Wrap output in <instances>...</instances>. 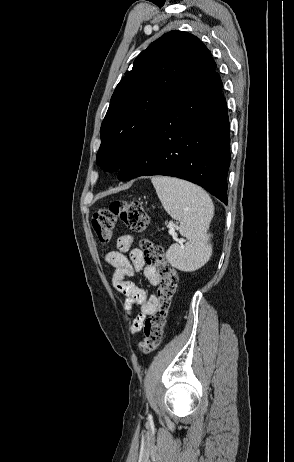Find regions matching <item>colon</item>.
Here are the masks:
<instances>
[{"label":"colon","instance_id":"5ec220e1","mask_svg":"<svg viewBox=\"0 0 294 462\" xmlns=\"http://www.w3.org/2000/svg\"><path fill=\"white\" fill-rule=\"evenodd\" d=\"M117 221L129 229L142 232L149 224V216L141 203L136 201H115L107 208L97 211L92 218V227L98 242L106 245L113 237ZM144 263L155 269L158 278L155 309L144 322V339L139 350L148 354L156 350L162 342L178 277L175 269L166 261L163 249L144 239L141 242Z\"/></svg>","mask_w":294,"mask_h":462}]
</instances>
